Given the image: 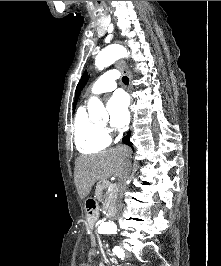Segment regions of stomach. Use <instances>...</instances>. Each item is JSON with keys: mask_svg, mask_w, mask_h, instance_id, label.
Returning <instances> with one entry per match:
<instances>
[{"mask_svg": "<svg viewBox=\"0 0 221 266\" xmlns=\"http://www.w3.org/2000/svg\"><path fill=\"white\" fill-rule=\"evenodd\" d=\"M96 218V214L92 212H87V219L88 220H93Z\"/></svg>", "mask_w": 221, "mask_h": 266, "instance_id": "0dacf381", "label": "stomach"}]
</instances>
